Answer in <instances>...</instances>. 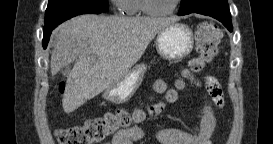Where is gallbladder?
I'll list each match as a JSON object with an SVG mask.
<instances>
[{
	"mask_svg": "<svg viewBox=\"0 0 273 144\" xmlns=\"http://www.w3.org/2000/svg\"><path fill=\"white\" fill-rule=\"evenodd\" d=\"M71 68H72V67L69 65L65 71H62L61 74H62V76H64L63 78H64L65 80L68 78V77H67V74H68V72L70 71Z\"/></svg>",
	"mask_w": 273,
	"mask_h": 144,
	"instance_id": "1",
	"label": "gallbladder"
}]
</instances>
